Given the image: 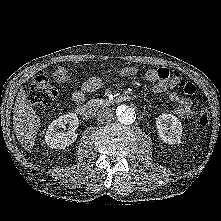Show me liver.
Masks as SVG:
<instances>
[{"label": "liver", "instance_id": "obj_1", "mask_svg": "<svg viewBox=\"0 0 221 221\" xmlns=\"http://www.w3.org/2000/svg\"><path fill=\"white\" fill-rule=\"evenodd\" d=\"M13 109V128L16 137L25 150L31 151L41 123L23 87L17 94Z\"/></svg>", "mask_w": 221, "mask_h": 221}]
</instances>
